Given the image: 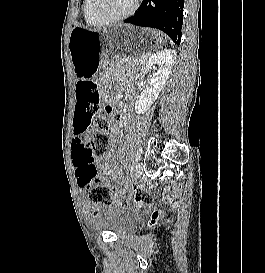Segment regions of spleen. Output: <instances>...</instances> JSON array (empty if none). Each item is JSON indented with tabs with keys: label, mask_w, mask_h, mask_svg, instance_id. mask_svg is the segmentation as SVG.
<instances>
[{
	"label": "spleen",
	"mask_w": 265,
	"mask_h": 273,
	"mask_svg": "<svg viewBox=\"0 0 265 273\" xmlns=\"http://www.w3.org/2000/svg\"><path fill=\"white\" fill-rule=\"evenodd\" d=\"M157 41L161 44L162 43V37L158 36Z\"/></svg>",
	"instance_id": "spleen-1"
}]
</instances>
